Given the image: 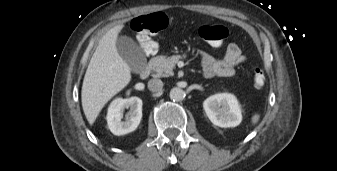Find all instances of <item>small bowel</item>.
Wrapping results in <instances>:
<instances>
[{"label":"small bowel","instance_id":"obj_1","mask_svg":"<svg viewBox=\"0 0 337 171\" xmlns=\"http://www.w3.org/2000/svg\"><path fill=\"white\" fill-rule=\"evenodd\" d=\"M201 60L206 77H231L235 74L236 67L245 61V56L238 45L231 43L223 58L215 59L212 55L202 52Z\"/></svg>","mask_w":337,"mask_h":171}]
</instances>
